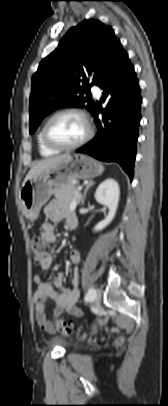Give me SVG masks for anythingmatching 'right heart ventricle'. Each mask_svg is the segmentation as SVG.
Returning <instances> with one entry per match:
<instances>
[{
  "instance_id": "right-heart-ventricle-1",
  "label": "right heart ventricle",
  "mask_w": 168,
  "mask_h": 406,
  "mask_svg": "<svg viewBox=\"0 0 168 406\" xmlns=\"http://www.w3.org/2000/svg\"><path fill=\"white\" fill-rule=\"evenodd\" d=\"M41 132H42V129L39 130V132L37 133V137H36L37 146H38L40 155H42L44 157H49V156H53V155L57 154L59 152V150L51 149L45 145V143L42 140Z\"/></svg>"
}]
</instances>
